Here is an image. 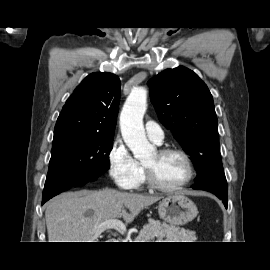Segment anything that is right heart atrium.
<instances>
[{
	"instance_id": "1",
	"label": "right heart atrium",
	"mask_w": 270,
	"mask_h": 270,
	"mask_svg": "<svg viewBox=\"0 0 270 270\" xmlns=\"http://www.w3.org/2000/svg\"><path fill=\"white\" fill-rule=\"evenodd\" d=\"M107 161L109 175L117 186L122 189L136 187L141 174V166L133 158L122 139L117 138L113 141Z\"/></svg>"
}]
</instances>
